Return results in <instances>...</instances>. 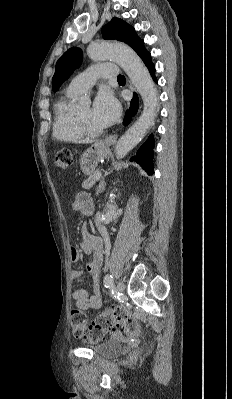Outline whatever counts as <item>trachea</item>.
Listing matches in <instances>:
<instances>
[{
	"label": "trachea",
	"instance_id": "trachea-1",
	"mask_svg": "<svg viewBox=\"0 0 232 399\" xmlns=\"http://www.w3.org/2000/svg\"><path fill=\"white\" fill-rule=\"evenodd\" d=\"M117 80H126L124 75H118Z\"/></svg>",
	"mask_w": 232,
	"mask_h": 399
}]
</instances>
